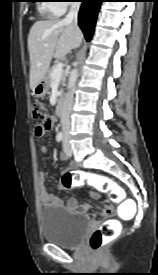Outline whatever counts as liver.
Returning <instances> with one entry per match:
<instances>
[{"label": "liver", "mask_w": 158, "mask_h": 275, "mask_svg": "<svg viewBox=\"0 0 158 275\" xmlns=\"http://www.w3.org/2000/svg\"><path fill=\"white\" fill-rule=\"evenodd\" d=\"M82 39L78 27L63 20L50 19L36 21L28 35L30 57V88L34 90L49 69L52 58H64Z\"/></svg>", "instance_id": "1"}]
</instances>
